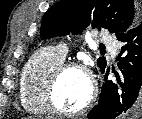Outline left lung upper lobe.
<instances>
[{"label": "left lung upper lobe", "mask_w": 142, "mask_h": 119, "mask_svg": "<svg viewBox=\"0 0 142 119\" xmlns=\"http://www.w3.org/2000/svg\"><path fill=\"white\" fill-rule=\"evenodd\" d=\"M139 23L141 9L134 0H60L44 14L41 36L78 34L92 24L93 28L108 29L119 37ZM106 64L103 57L97 60L101 72Z\"/></svg>", "instance_id": "1"}]
</instances>
